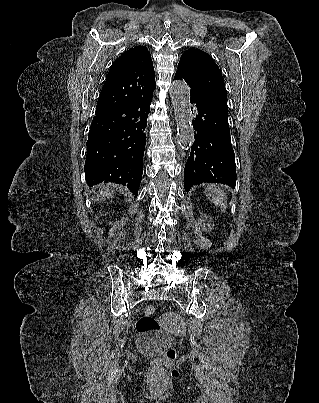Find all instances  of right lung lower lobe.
<instances>
[{
  "label": "right lung lower lobe",
  "instance_id": "1",
  "mask_svg": "<svg viewBox=\"0 0 319 403\" xmlns=\"http://www.w3.org/2000/svg\"><path fill=\"white\" fill-rule=\"evenodd\" d=\"M152 97L132 105L95 113L89 130L85 178L126 185L137 194L143 173L145 128Z\"/></svg>",
  "mask_w": 319,
  "mask_h": 403
}]
</instances>
